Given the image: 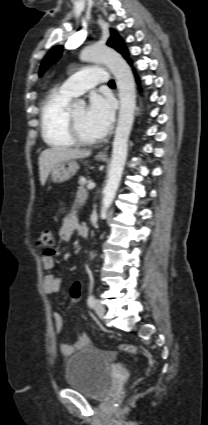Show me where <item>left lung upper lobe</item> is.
Listing matches in <instances>:
<instances>
[{"label":"left lung upper lobe","mask_w":208,"mask_h":425,"mask_svg":"<svg viewBox=\"0 0 208 425\" xmlns=\"http://www.w3.org/2000/svg\"><path fill=\"white\" fill-rule=\"evenodd\" d=\"M107 45L114 48L119 53H121L124 58L126 59L128 58V51L126 49V46L122 38L118 35V33L114 29H111V37L109 38ZM61 54H62V46H56L47 53V55L45 56L41 64L40 76L44 73L47 66H49L51 63L59 59Z\"/></svg>","instance_id":"left-lung-upper-lobe-1"}]
</instances>
